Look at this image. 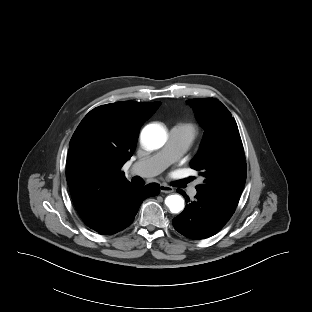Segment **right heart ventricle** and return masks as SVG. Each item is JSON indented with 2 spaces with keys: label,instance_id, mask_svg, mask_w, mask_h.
<instances>
[{
  "label": "right heart ventricle",
  "instance_id": "e07e8e85",
  "mask_svg": "<svg viewBox=\"0 0 312 312\" xmlns=\"http://www.w3.org/2000/svg\"><path fill=\"white\" fill-rule=\"evenodd\" d=\"M180 127L186 129L188 132L191 133L192 137L195 136V133H196V129H195V126L192 125V124H183V125H180Z\"/></svg>",
  "mask_w": 312,
  "mask_h": 312
}]
</instances>
